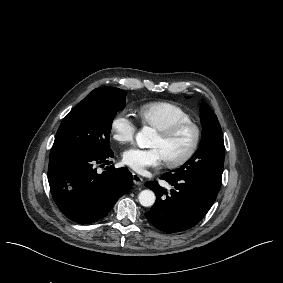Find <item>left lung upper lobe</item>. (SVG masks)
Returning a JSON list of instances; mask_svg holds the SVG:
<instances>
[{
    "label": "left lung upper lobe",
    "instance_id": "1",
    "mask_svg": "<svg viewBox=\"0 0 283 283\" xmlns=\"http://www.w3.org/2000/svg\"><path fill=\"white\" fill-rule=\"evenodd\" d=\"M202 140L195 154L179 169L170 173L174 177H200L219 190L224 166V141L217 116L205 102L201 108Z\"/></svg>",
    "mask_w": 283,
    "mask_h": 283
}]
</instances>
